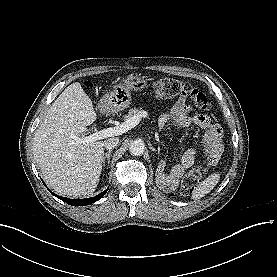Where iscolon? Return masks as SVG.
Listing matches in <instances>:
<instances>
[{"label":"colon","instance_id":"colon-1","mask_svg":"<svg viewBox=\"0 0 277 277\" xmlns=\"http://www.w3.org/2000/svg\"><path fill=\"white\" fill-rule=\"evenodd\" d=\"M155 95L160 99H170L176 96L188 97L194 104L195 108L200 111H208L210 108L209 101L206 95L196 89L189 82L164 78L156 81L153 85ZM215 156L207 159L206 163L200 165L197 169L186 174L181 184V193L189 196L193 193L200 176L205 168L213 166Z\"/></svg>","mask_w":277,"mask_h":277}]
</instances>
